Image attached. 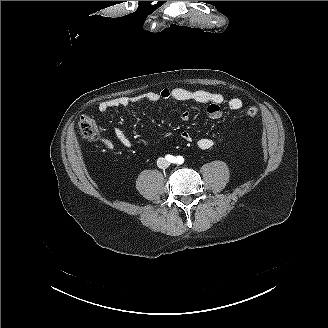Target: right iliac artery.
Listing matches in <instances>:
<instances>
[{
    "label": "right iliac artery",
    "instance_id": "1",
    "mask_svg": "<svg viewBox=\"0 0 328 328\" xmlns=\"http://www.w3.org/2000/svg\"><path fill=\"white\" fill-rule=\"evenodd\" d=\"M165 158L169 161V162H175V157L172 155H166Z\"/></svg>",
    "mask_w": 328,
    "mask_h": 328
}]
</instances>
